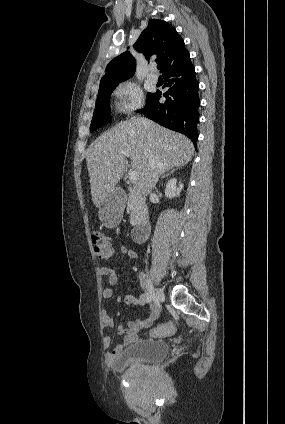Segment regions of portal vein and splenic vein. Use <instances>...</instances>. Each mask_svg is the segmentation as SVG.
Here are the masks:
<instances>
[{
	"mask_svg": "<svg viewBox=\"0 0 285 424\" xmlns=\"http://www.w3.org/2000/svg\"><path fill=\"white\" fill-rule=\"evenodd\" d=\"M120 154H122L126 157H129V154L127 152L122 151V152H120ZM108 164H110V163H108ZM128 175H129V180L132 184H135V183L138 182L139 175L136 171H130Z\"/></svg>",
	"mask_w": 285,
	"mask_h": 424,
	"instance_id": "portal-vein-and-splenic-vein-1",
	"label": "portal vein and splenic vein"
}]
</instances>
